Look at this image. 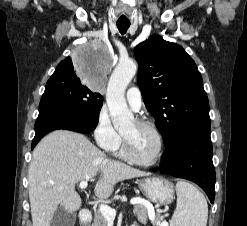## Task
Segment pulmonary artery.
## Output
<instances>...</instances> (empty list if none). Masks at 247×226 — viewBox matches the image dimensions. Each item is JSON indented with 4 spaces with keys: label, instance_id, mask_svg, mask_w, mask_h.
<instances>
[{
    "label": "pulmonary artery",
    "instance_id": "pulmonary-artery-1",
    "mask_svg": "<svg viewBox=\"0 0 247 226\" xmlns=\"http://www.w3.org/2000/svg\"><path fill=\"white\" fill-rule=\"evenodd\" d=\"M126 99L130 107L138 111L142 105L141 92L137 87H130L126 92Z\"/></svg>",
    "mask_w": 247,
    "mask_h": 226
}]
</instances>
